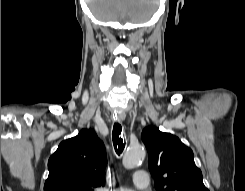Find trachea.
<instances>
[{
  "instance_id": "trachea-1",
  "label": "trachea",
  "mask_w": 245,
  "mask_h": 191,
  "mask_svg": "<svg viewBox=\"0 0 245 191\" xmlns=\"http://www.w3.org/2000/svg\"><path fill=\"white\" fill-rule=\"evenodd\" d=\"M112 139L116 153L120 155L125 148V137L119 123H115L113 126Z\"/></svg>"
}]
</instances>
